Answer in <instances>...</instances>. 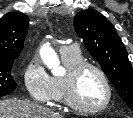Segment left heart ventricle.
I'll return each mask as SVG.
<instances>
[{
    "label": "left heart ventricle",
    "mask_w": 133,
    "mask_h": 118,
    "mask_svg": "<svg viewBox=\"0 0 133 118\" xmlns=\"http://www.w3.org/2000/svg\"><path fill=\"white\" fill-rule=\"evenodd\" d=\"M106 95V88L99 74L92 69L85 70L77 85L80 103L87 107H96L105 101Z\"/></svg>",
    "instance_id": "left-heart-ventricle-1"
}]
</instances>
